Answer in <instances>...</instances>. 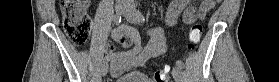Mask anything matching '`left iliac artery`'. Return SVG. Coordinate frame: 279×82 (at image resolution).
<instances>
[{
	"mask_svg": "<svg viewBox=\"0 0 279 82\" xmlns=\"http://www.w3.org/2000/svg\"><path fill=\"white\" fill-rule=\"evenodd\" d=\"M136 18L138 19L139 22H144L145 21V17L144 15L139 11V9L136 11ZM176 65L179 67V68H183L184 67V64L182 61L178 60L176 61ZM166 70H170V67L167 66L165 67Z\"/></svg>",
	"mask_w": 279,
	"mask_h": 82,
	"instance_id": "obj_1",
	"label": "left iliac artery"
}]
</instances>
